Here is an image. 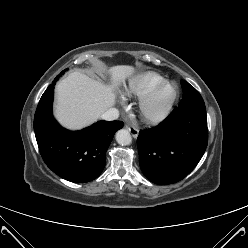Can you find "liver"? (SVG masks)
Wrapping results in <instances>:
<instances>
[{
	"label": "liver",
	"instance_id": "6515ba94",
	"mask_svg": "<svg viewBox=\"0 0 248 248\" xmlns=\"http://www.w3.org/2000/svg\"><path fill=\"white\" fill-rule=\"evenodd\" d=\"M112 85L72 72L56 86L55 116L66 128L80 129L96 121L115 103V90L134 73L131 66H114Z\"/></svg>",
	"mask_w": 248,
	"mask_h": 248
}]
</instances>
